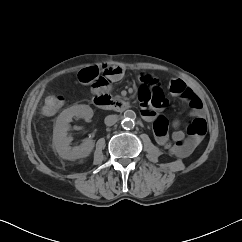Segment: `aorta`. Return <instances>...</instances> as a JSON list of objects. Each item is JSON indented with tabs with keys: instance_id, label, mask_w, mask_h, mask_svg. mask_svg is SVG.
Here are the masks:
<instances>
[{
	"instance_id": "aorta-1",
	"label": "aorta",
	"mask_w": 242,
	"mask_h": 242,
	"mask_svg": "<svg viewBox=\"0 0 242 242\" xmlns=\"http://www.w3.org/2000/svg\"><path fill=\"white\" fill-rule=\"evenodd\" d=\"M136 113L133 110H126L121 125L124 129L130 130L135 126Z\"/></svg>"
}]
</instances>
